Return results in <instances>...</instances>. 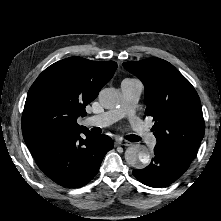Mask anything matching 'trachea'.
I'll list each match as a JSON object with an SVG mask.
<instances>
[{
    "label": "trachea",
    "instance_id": "3493384b",
    "mask_svg": "<svg viewBox=\"0 0 221 221\" xmlns=\"http://www.w3.org/2000/svg\"><path fill=\"white\" fill-rule=\"evenodd\" d=\"M126 139L129 141H132V142H138L141 140V138L139 136L134 135V134L126 136Z\"/></svg>",
    "mask_w": 221,
    "mask_h": 221
}]
</instances>
